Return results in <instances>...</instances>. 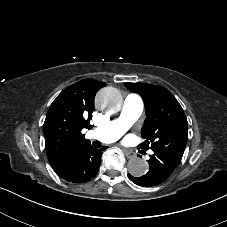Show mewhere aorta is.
<instances>
[{
	"mask_svg": "<svg viewBox=\"0 0 227 227\" xmlns=\"http://www.w3.org/2000/svg\"><path fill=\"white\" fill-rule=\"evenodd\" d=\"M96 104L107 113H113L121 108L122 96L113 87L103 88L97 93ZM128 171L134 177H141L148 171V164L139 157L131 158L128 161Z\"/></svg>",
	"mask_w": 227,
	"mask_h": 227,
	"instance_id": "obj_1",
	"label": "aorta"
}]
</instances>
